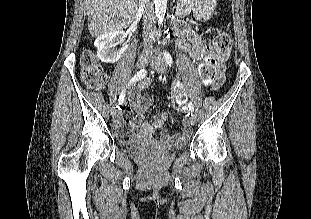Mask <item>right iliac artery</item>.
I'll use <instances>...</instances> for the list:
<instances>
[{
  "mask_svg": "<svg viewBox=\"0 0 311 219\" xmlns=\"http://www.w3.org/2000/svg\"><path fill=\"white\" fill-rule=\"evenodd\" d=\"M147 74V71L142 69L140 71H138L129 81L128 86H130L131 84L137 82L138 80L143 79ZM127 88V87H126ZM125 94H126V89H124L121 93V95L119 96V104H122L124 102L125 99Z\"/></svg>",
  "mask_w": 311,
  "mask_h": 219,
  "instance_id": "82829eb1",
  "label": "right iliac artery"
}]
</instances>
